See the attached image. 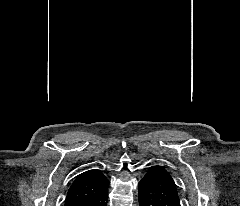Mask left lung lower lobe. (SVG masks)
Returning <instances> with one entry per match:
<instances>
[{
	"label": "left lung lower lobe",
	"mask_w": 240,
	"mask_h": 206,
	"mask_svg": "<svg viewBox=\"0 0 240 206\" xmlns=\"http://www.w3.org/2000/svg\"><path fill=\"white\" fill-rule=\"evenodd\" d=\"M139 206H181L172 176L159 165L149 168L139 182Z\"/></svg>",
	"instance_id": "left-lung-lower-lobe-1"
}]
</instances>
